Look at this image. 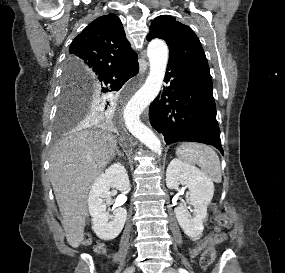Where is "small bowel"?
Listing matches in <instances>:
<instances>
[{"label":"small bowel","mask_w":285,"mask_h":273,"mask_svg":"<svg viewBox=\"0 0 285 273\" xmlns=\"http://www.w3.org/2000/svg\"><path fill=\"white\" fill-rule=\"evenodd\" d=\"M222 239H223V238H221L220 240H222ZM200 249H201V247H198V248L195 250V252H196V253L199 252Z\"/></svg>","instance_id":"small-bowel-1"}]
</instances>
